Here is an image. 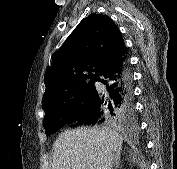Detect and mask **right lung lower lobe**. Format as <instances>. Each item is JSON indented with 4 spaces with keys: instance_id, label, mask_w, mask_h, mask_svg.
<instances>
[{
    "instance_id": "obj_1",
    "label": "right lung lower lobe",
    "mask_w": 177,
    "mask_h": 169,
    "mask_svg": "<svg viewBox=\"0 0 177 169\" xmlns=\"http://www.w3.org/2000/svg\"><path fill=\"white\" fill-rule=\"evenodd\" d=\"M101 82L106 92L96 90L91 107L70 123L77 125H125L135 116L133 79L127 58L106 67L94 82Z\"/></svg>"
}]
</instances>
